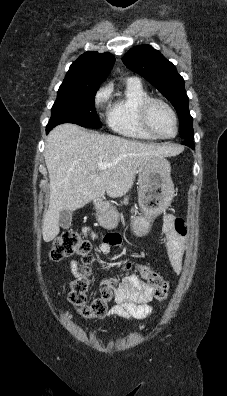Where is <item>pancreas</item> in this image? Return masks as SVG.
Listing matches in <instances>:
<instances>
[{"label": "pancreas", "mask_w": 227, "mask_h": 396, "mask_svg": "<svg viewBox=\"0 0 227 396\" xmlns=\"http://www.w3.org/2000/svg\"><path fill=\"white\" fill-rule=\"evenodd\" d=\"M127 200H128V198H125V199H124V203H126V202H127Z\"/></svg>", "instance_id": "cf45deb5"}]
</instances>
